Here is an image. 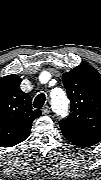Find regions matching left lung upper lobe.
Listing matches in <instances>:
<instances>
[{
	"mask_svg": "<svg viewBox=\"0 0 101 180\" xmlns=\"http://www.w3.org/2000/svg\"><path fill=\"white\" fill-rule=\"evenodd\" d=\"M71 102V113L59 122L65 138L80 147L101 140V75L81 64L62 76Z\"/></svg>",
	"mask_w": 101,
	"mask_h": 180,
	"instance_id": "5c2ea615",
	"label": "left lung upper lobe"
}]
</instances>
